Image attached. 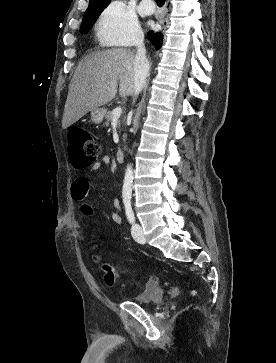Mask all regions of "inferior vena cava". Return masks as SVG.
Masks as SVG:
<instances>
[{
  "label": "inferior vena cava",
  "mask_w": 276,
  "mask_h": 363,
  "mask_svg": "<svg viewBox=\"0 0 276 363\" xmlns=\"http://www.w3.org/2000/svg\"><path fill=\"white\" fill-rule=\"evenodd\" d=\"M136 54L134 58V94L137 95L142 90L146 78L149 74L150 65L146 57V49L143 39L136 43Z\"/></svg>",
  "instance_id": "602c4592"
}]
</instances>
